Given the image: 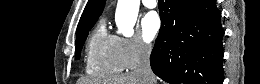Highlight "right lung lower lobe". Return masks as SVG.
I'll return each mask as SVG.
<instances>
[{"instance_id":"1","label":"right lung lower lobe","mask_w":260,"mask_h":84,"mask_svg":"<svg viewBox=\"0 0 260 84\" xmlns=\"http://www.w3.org/2000/svg\"><path fill=\"white\" fill-rule=\"evenodd\" d=\"M153 72L168 83L223 84L221 13L215 0L159 1Z\"/></svg>"}]
</instances>
